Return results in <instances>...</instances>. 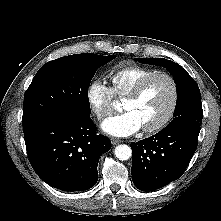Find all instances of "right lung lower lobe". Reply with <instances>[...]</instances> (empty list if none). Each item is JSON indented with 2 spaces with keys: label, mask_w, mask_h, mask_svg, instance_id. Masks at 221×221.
Here are the masks:
<instances>
[{
  "label": "right lung lower lobe",
  "mask_w": 221,
  "mask_h": 221,
  "mask_svg": "<svg viewBox=\"0 0 221 221\" xmlns=\"http://www.w3.org/2000/svg\"><path fill=\"white\" fill-rule=\"evenodd\" d=\"M95 131L91 118L64 114L30 125L24 138L34 171L50 186L67 192L93 187L100 155L111 148L109 138Z\"/></svg>",
  "instance_id": "right-lung-lower-lobe-1"
}]
</instances>
